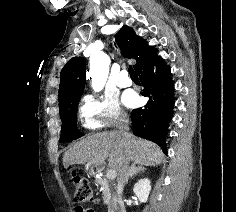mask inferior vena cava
Masks as SVG:
<instances>
[{"mask_svg": "<svg viewBox=\"0 0 236 212\" xmlns=\"http://www.w3.org/2000/svg\"><path fill=\"white\" fill-rule=\"evenodd\" d=\"M118 133L122 136H126L129 127H128V119L126 116H121L120 122L118 124ZM130 159L128 157L127 152L121 157V161L119 163L118 174H117V194L120 195L123 191V187L126 183V179L128 177V173L130 170L129 167Z\"/></svg>", "mask_w": 236, "mask_h": 212, "instance_id": "1", "label": "inferior vena cava"}]
</instances>
